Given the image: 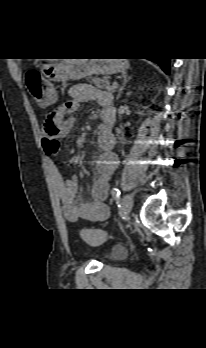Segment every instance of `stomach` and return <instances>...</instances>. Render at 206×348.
I'll use <instances>...</instances> for the list:
<instances>
[{
    "instance_id": "obj_1",
    "label": "stomach",
    "mask_w": 206,
    "mask_h": 348,
    "mask_svg": "<svg viewBox=\"0 0 206 348\" xmlns=\"http://www.w3.org/2000/svg\"><path fill=\"white\" fill-rule=\"evenodd\" d=\"M127 62L121 59H65L61 63H48L41 67V73L50 81L80 80L91 75L109 76L124 71ZM41 108L53 104L55 97L35 98Z\"/></svg>"
}]
</instances>
